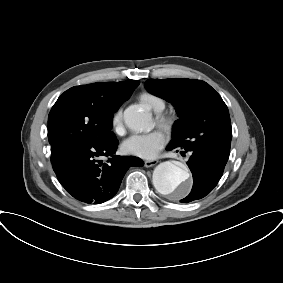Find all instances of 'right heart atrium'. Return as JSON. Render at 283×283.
I'll use <instances>...</instances> for the list:
<instances>
[{"label": "right heart atrium", "mask_w": 283, "mask_h": 283, "mask_svg": "<svg viewBox=\"0 0 283 283\" xmlns=\"http://www.w3.org/2000/svg\"><path fill=\"white\" fill-rule=\"evenodd\" d=\"M112 127L114 131L120 134L123 131V109L118 108L112 116Z\"/></svg>", "instance_id": "obj_1"}]
</instances>
